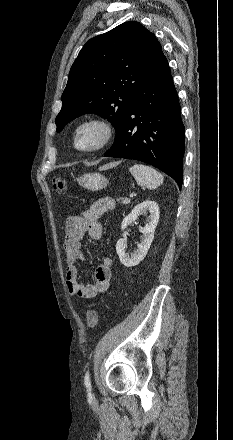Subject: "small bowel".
I'll list each match as a JSON object with an SVG mask.
<instances>
[{
    "label": "small bowel",
    "mask_w": 233,
    "mask_h": 440,
    "mask_svg": "<svg viewBox=\"0 0 233 440\" xmlns=\"http://www.w3.org/2000/svg\"><path fill=\"white\" fill-rule=\"evenodd\" d=\"M112 197L95 201L89 208L79 214L71 215L66 223L64 249L66 253V285L69 293L82 299H91L108 290L112 275L113 261L110 256L102 258L95 270L94 282L82 284L78 281L79 261L84 260L80 242L85 233L98 240L102 236L100 218L115 208Z\"/></svg>",
    "instance_id": "obj_1"
}]
</instances>
